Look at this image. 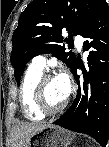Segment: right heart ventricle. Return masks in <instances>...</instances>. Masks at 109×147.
<instances>
[{"mask_svg":"<svg viewBox=\"0 0 109 147\" xmlns=\"http://www.w3.org/2000/svg\"><path fill=\"white\" fill-rule=\"evenodd\" d=\"M43 75L41 70L29 67L26 71L20 87V105L25 118L30 121H41L45 115L33 105V95L37 82Z\"/></svg>","mask_w":109,"mask_h":147,"instance_id":"right-heart-ventricle-1","label":"right heart ventricle"}]
</instances>
